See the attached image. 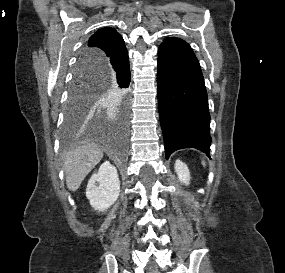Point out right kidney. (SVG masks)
<instances>
[{"label": "right kidney", "instance_id": "obj_1", "mask_svg": "<svg viewBox=\"0 0 285 273\" xmlns=\"http://www.w3.org/2000/svg\"><path fill=\"white\" fill-rule=\"evenodd\" d=\"M120 193V181L116 168L105 161L98 172L93 174L87 184L86 197L90 205L104 212L117 200Z\"/></svg>", "mask_w": 285, "mask_h": 273}]
</instances>
